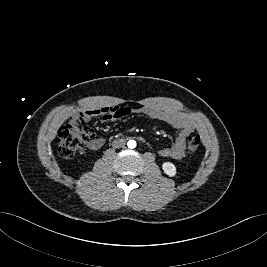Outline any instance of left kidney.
<instances>
[{
	"instance_id": "obj_1",
	"label": "left kidney",
	"mask_w": 267,
	"mask_h": 267,
	"mask_svg": "<svg viewBox=\"0 0 267 267\" xmlns=\"http://www.w3.org/2000/svg\"><path fill=\"white\" fill-rule=\"evenodd\" d=\"M162 169H163L164 173L170 177H173L176 175V167L171 162H164L162 164Z\"/></svg>"
}]
</instances>
